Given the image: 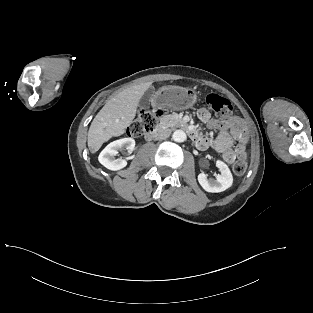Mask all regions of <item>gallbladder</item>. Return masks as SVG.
I'll return each mask as SVG.
<instances>
[{"label": "gallbladder", "mask_w": 313, "mask_h": 313, "mask_svg": "<svg viewBox=\"0 0 313 313\" xmlns=\"http://www.w3.org/2000/svg\"><path fill=\"white\" fill-rule=\"evenodd\" d=\"M154 92V89L151 88L149 91H147L145 93V95L142 97L141 99V103L144 105V106H148V104L150 103V100H151V97H152V94Z\"/></svg>", "instance_id": "1"}]
</instances>
